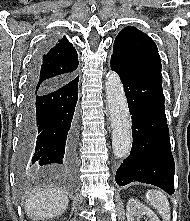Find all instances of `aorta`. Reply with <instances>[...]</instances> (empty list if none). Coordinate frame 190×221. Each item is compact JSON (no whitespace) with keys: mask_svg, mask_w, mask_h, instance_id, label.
Segmentation results:
<instances>
[{"mask_svg":"<svg viewBox=\"0 0 190 221\" xmlns=\"http://www.w3.org/2000/svg\"><path fill=\"white\" fill-rule=\"evenodd\" d=\"M106 77L105 90L111 119L113 153L117 158H125L132 144L127 100L119 75L109 71Z\"/></svg>","mask_w":190,"mask_h":221,"instance_id":"obj_1","label":"aorta"}]
</instances>
